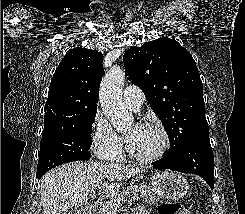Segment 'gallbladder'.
<instances>
[{
    "instance_id": "1",
    "label": "gallbladder",
    "mask_w": 245,
    "mask_h": 214,
    "mask_svg": "<svg viewBox=\"0 0 245 214\" xmlns=\"http://www.w3.org/2000/svg\"><path fill=\"white\" fill-rule=\"evenodd\" d=\"M62 214H73V211H72V209H67V210L63 211Z\"/></svg>"
}]
</instances>
